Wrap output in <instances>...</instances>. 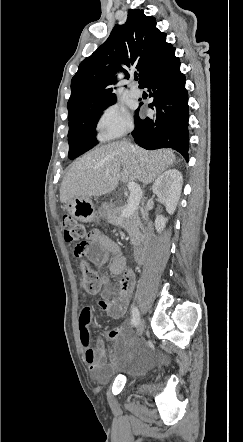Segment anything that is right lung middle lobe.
Listing matches in <instances>:
<instances>
[{"label":"right lung middle lobe","instance_id":"obj_1","mask_svg":"<svg viewBox=\"0 0 243 442\" xmlns=\"http://www.w3.org/2000/svg\"><path fill=\"white\" fill-rule=\"evenodd\" d=\"M115 102L116 98L69 120L68 157L70 159H75L98 144L95 134L98 119L102 111Z\"/></svg>","mask_w":243,"mask_h":442}]
</instances>
